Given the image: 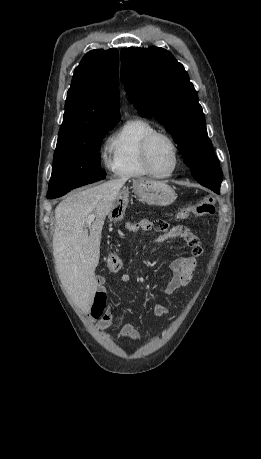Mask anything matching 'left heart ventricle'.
<instances>
[{
	"mask_svg": "<svg viewBox=\"0 0 261 459\" xmlns=\"http://www.w3.org/2000/svg\"><path fill=\"white\" fill-rule=\"evenodd\" d=\"M151 165L158 173H167L174 166V152L171 144L164 138H158L151 147Z\"/></svg>",
	"mask_w": 261,
	"mask_h": 459,
	"instance_id": "b2bd125f",
	"label": "left heart ventricle"
}]
</instances>
